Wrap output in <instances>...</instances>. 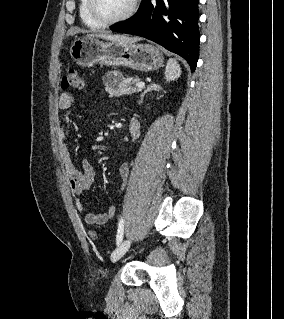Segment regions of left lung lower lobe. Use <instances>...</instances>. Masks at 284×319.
<instances>
[{
  "label": "left lung lower lobe",
  "instance_id": "0a47b994",
  "mask_svg": "<svg viewBox=\"0 0 284 319\" xmlns=\"http://www.w3.org/2000/svg\"><path fill=\"white\" fill-rule=\"evenodd\" d=\"M199 0H143L131 18L111 30L150 39L182 56L194 72L199 58Z\"/></svg>",
  "mask_w": 284,
  "mask_h": 319
}]
</instances>
